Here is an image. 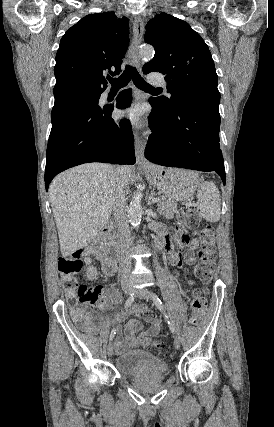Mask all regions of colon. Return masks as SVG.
Here are the masks:
<instances>
[{
	"label": "colon",
	"mask_w": 274,
	"mask_h": 427,
	"mask_svg": "<svg viewBox=\"0 0 274 427\" xmlns=\"http://www.w3.org/2000/svg\"><path fill=\"white\" fill-rule=\"evenodd\" d=\"M179 221L188 229H194L199 225L200 216L191 207H181L178 211ZM198 248H215L214 230L211 224L206 225L197 233ZM82 252L76 250L71 254L62 256L58 261V271L62 275V286L71 305L77 303H96L103 296V287L90 285L83 281ZM193 281V276H192ZM204 294L197 288L190 295L189 309L197 318H206L207 310L201 302ZM140 343L143 350L156 351L165 354V347L158 341L148 337H141Z\"/></svg>",
	"instance_id": "colon-1"
}]
</instances>
